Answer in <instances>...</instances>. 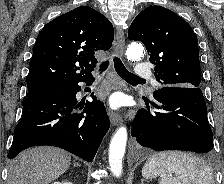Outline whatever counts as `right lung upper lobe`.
<instances>
[{"instance_id":"1","label":"right lung upper lobe","mask_w":224,"mask_h":184,"mask_svg":"<svg viewBox=\"0 0 224 184\" xmlns=\"http://www.w3.org/2000/svg\"><path fill=\"white\" fill-rule=\"evenodd\" d=\"M113 39L110 21L89 6L60 15L37 36L27 86H54L92 78L98 62L95 52L110 49Z\"/></svg>"}]
</instances>
